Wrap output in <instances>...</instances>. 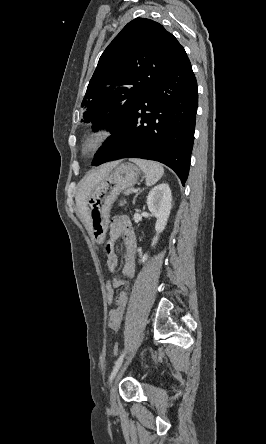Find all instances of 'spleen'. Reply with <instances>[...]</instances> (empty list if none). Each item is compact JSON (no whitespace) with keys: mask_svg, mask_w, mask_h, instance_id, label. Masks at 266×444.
Segmentation results:
<instances>
[{"mask_svg":"<svg viewBox=\"0 0 266 444\" xmlns=\"http://www.w3.org/2000/svg\"><path fill=\"white\" fill-rule=\"evenodd\" d=\"M131 161L137 164L145 174L147 186L154 185L164 173V168L158 162L139 158H133Z\"/></svg>","mask_w":266,"mask_h":444,"instance_id":"obj_1","label":"spleen"}]
</instances>
